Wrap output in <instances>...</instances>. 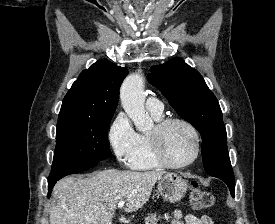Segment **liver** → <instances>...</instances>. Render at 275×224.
I'll return each mask as SVG.
<instances>
[{"label":"liver","instance_id":"1","mask_svg":"<svg viewBox=\"0 0 275 224\" xmlns=\"http://www.w3.org/2000/svg\"><path fill=\"white\" fill-rule=\"evenodd\" d=\"M164 174L109 169L87 178L65 177L53 189L50 224H112L118 202L126 201V212L137 211Z\"/></svg>","mask_w":275,"mask_h":224}]
</instances>
